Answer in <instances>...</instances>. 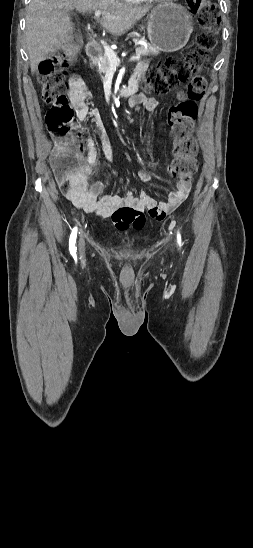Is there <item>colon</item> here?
<instances>
[{
	"label": "colon",
	"instance_id": "colon-1",
	"mask_svg": "<svg viewBox=\"0 0 253 548\" xmlns=\"http://www.w3.org/2000/svg\"><path fill=\"white\" fill-rule=\"evenodd\" d=\"M197 13L202 30L197 46L181 55L167 58L152 67L142 81L147 93L165 95L172 88L186 84V99L172 107L169 112V125L176 137L174 160L169 172L191 182L197 170V144L191 131L197 119L196 102L201 100L206 90V79L202 72L209 59V53L216 46L220 18L210 0H187ZM76 57V48L71 46L62 54L42 61L39 65L38 80L42 86V98L48 104L45 114L46 125L54 138L53 168L57 180L66 186L76 170L73 158L72 130L74 110L66 97L65 78L69 65ZM158 159L151 157L149 167L157 168Z\"/></svg>",
	"mask_w": 253,
	"mask_h": 548
}]
</instances>
